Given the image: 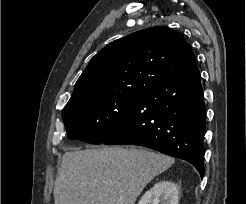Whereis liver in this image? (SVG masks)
I'll use <instances>...</instances> for the list:
<instances>
[{
  "mask_svg": "<svg viewBox=\"0 0 246 204\" xmlns=\"http://www.w3.org/2000/svg\"><path fill=\"white\" fill-rule=\"evenodd\" d=\"M174 161L134 147L67 151L54 184V203L135 204L144 187Z\"/></svg>",
  "mask_w": 246,
  "mask_h": 204,
  "instance_id": "obj_1",
  "label": "liver"
}]
</instances>
